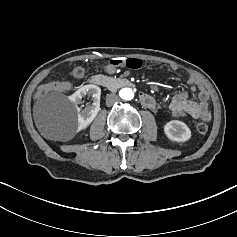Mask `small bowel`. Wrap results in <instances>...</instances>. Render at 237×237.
<instances>
[{"label": "small bowel", "mask_w": 237, "mask_h": 237, "mask_svg": "<svg viewBox=\"0 0 237 237\" xmlns=\"http://www.w3.org/2000/svg\"><path fill=\"white\" fill-rule=\"evenodd\" d=\"M116 69L117 67L111 64L105 66V71L108 73H113ZM171 69L176 71L177 67L172 66ZM188 76L190 89L192 91H198L199 102L189 99L188 92L183 91L172 97L166 107L174 117L189 116L192 119L209 121L211 119V112L209 110L208 91L194 75L189 74ZM49 85L53 91L65 92L70 89L68 82H52ZM139 100L144 107L149 109H154L159 106V102L148 93H140Z\"/></svg>", "instance_id": "small-bowel-1"}]
</instances>
